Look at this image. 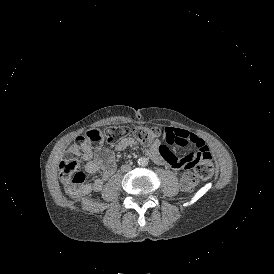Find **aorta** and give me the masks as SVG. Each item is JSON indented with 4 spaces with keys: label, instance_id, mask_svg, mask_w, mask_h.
<instances>
[{
    "label": "aorta",
    "instance_id": "762f6f07",
    "mask_svg": "<svg viewBox=\"0 0 274 274\" xmlns=\"http://www.w3.org/2000/svg\"><path fill=\"white\" fill-rule=\"evenodd\" d=\"M138 164H139L140 166H146V165L148 164L147 158H145V157H140V158L138 159Z\"/></svg>",
    "mask_w": 274,
    "mask_h": 274
}]
</instances>
